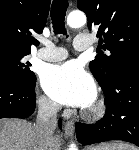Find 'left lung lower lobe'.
<instances>
[{"label":"left lung lower lobe","instance_id":"obj_1","mask_svg":"<svg viewBox=\"0 0 139 150\" xmlns=\"http://www.w3.org/2000/svg\"><path fill=\"white\" fill-rule=\"evenodd\" d=\"M106 114L95 124L76 123L83 145L123 140L139 147V58L124 65L104 92Z\"/></svg>","mask_w":139,"mask_h":150}]
</instances>
